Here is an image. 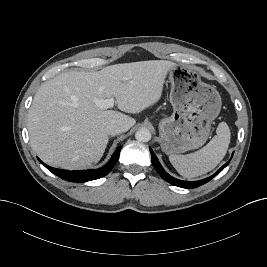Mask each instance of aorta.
I'll return each mask as SVG.
<instances>
[{
	"label": "aorta",
	"mask_w": 267,
	"mask_h": 267,
	"mask_svg": "<svg viewBox=\"0 0 267 267\" xmlns=\"http://www.w3.org/2000/svg\"><path fill=\"white\" fill-rule=\"evenodd\" d=\"M135 138L139 142H148L151 139V133L147 128H140L135 133Z\"/></svg>",
	"instance_id": "762f6f07"
}]
</instances>
